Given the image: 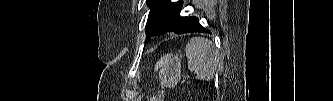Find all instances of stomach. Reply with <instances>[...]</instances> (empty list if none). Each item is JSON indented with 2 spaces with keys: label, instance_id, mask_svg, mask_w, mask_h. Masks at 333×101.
I'll use <instances>...</instances> for the list:
<instances>
[{
  "label": "stomach",
  "instance_id": "stomach-1",
  "mask_svg": "<svg viewBox=\"0 0 333 101\" xmlns=\"http://www.w3.org/2000/svg\"><path fill=\"white\" fill-rule=\"evenodd\" d=\"M160 79L165 87H175L181 78V62L177 57L164 56L159 62ZM149 101H161V95L152 97Z\"/></svg>",
  "mask_w": 333,
  "mask_h": 101
}]
</instances>
